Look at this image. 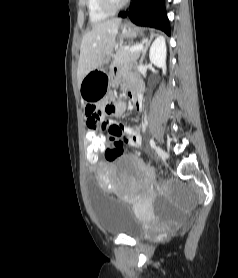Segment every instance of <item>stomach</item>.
Masks as SVG:
<instances>
[{"label": "stomach", "instance_id": "stomach-1", "mask_svg": "<svg viewBox=\"0 0 238 278\" xmlns=\"http://www.w3.org/2000/svg\"><path fill=\"white\" fill-rule=\"evenodd\" d=\"M121 38H135L141 34V30L131 23L121 24L119 27ZM112 52L105 57L101 67L94 69L87 73L82 79L79 92L83 100L97 101L104 96L110 83V77L107 73V66L109 64Z\"/></svg>", "mask_w": 238, "mask_h": 278}]
</instances>
